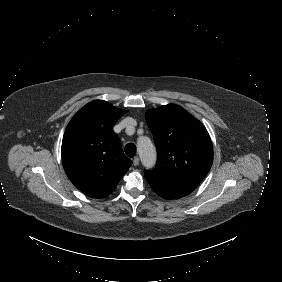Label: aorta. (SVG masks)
I'll return each instance as SVG.
<instances>
[{
	"mask_svg": "<svg viewBox=\"0 0 282 282\" xmlns=\"http://www.w3.org/2000/svg\"><path fill=\"white\" fill-rule=\"evenodd\" d=\"M136 148L139 154L142 166L151 170L157 163L156 147L148 136H139L136 141Z\"/></svg>",
	"mask_w": 282,
	"mask_h": 282,
	"instance_id": "aorta-1",
	"label": "aorta"
}]
</instances>
